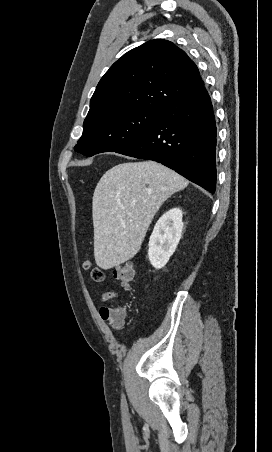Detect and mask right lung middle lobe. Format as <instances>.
<instances>
[{
	"label": "right lung middle lobe",
	"mask_w": 272,
	"mask_h": 452,
	"mask_svg": "<svg viewBox=\"0 0 272 452\" xmlns=\"http://www.w3.org/2000/svg\"><path fill=\"white\" fill-rule=\"evenodd\" d=\"M162 113L136 108L84 121L83 134L74 150L88 157L118 152L142 136Z\"/></svg>",
	"instance_id": "dd1d6c3e"
}]
</instances>
